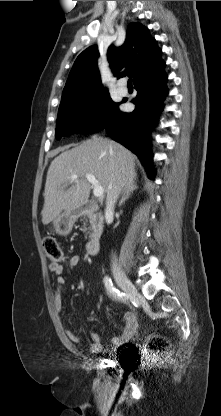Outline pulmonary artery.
<instances>
[{"label": "pulmonary artery", "instance_id": "e3ab8cb5", "mask_svg": "<svg viewBox=\"0 0 221 416\" xmlns=\"http://www.w3.org/2000/svg\"><path fill=\"white\" fill-rule=\"evenodd\" d=\"M117 92H118L120 95L125 96V95H127V94H128V89H127V87H126V86H124V84H123L122 82H120V83L118 84V87H117Z\"/></svg>", "mask_w": 221, "mask_h": 416}]
</instances>
